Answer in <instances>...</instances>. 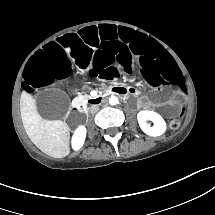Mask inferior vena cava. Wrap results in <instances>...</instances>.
I'll use <instances>...</instances> for the list:
<instances>
[{
	"mask_svg": "<svg viewBox=\"0 0 215 215\" xmlns=\"http://www.w3.org/2000/svg\"><path fill=\"white\" fill-rule=\"evenodd\" d=\"M99 111V106L98 105H92L91 107H90V109H89V112L91 113V114H95V113H97Z\"/></svg>",
	"mask_w": 215,
	"mask_h": 215,
	"instance_id": "602c4592",
	"label": "inferior vena cava"
}]
</instances>
